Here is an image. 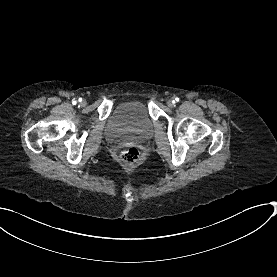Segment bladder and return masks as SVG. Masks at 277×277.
<instances>
[{
    "mask_svg": "<svg viewBox=\"0 0 277 277\" xmlns=\"http://www.w3.org/2000/svg\"><path fill=\"white\" fill-rule=\"evenodd\" d=\"M105 124L117 142L144 141L153 133L154 122L146 105L136 99L116 103L107 113Z\"/></svg>",
    "mask_w": 277,
    "mask_h": 277,
    "instance_id": "31cf9c89",
    "label": "bladder"
}]
</instances>
